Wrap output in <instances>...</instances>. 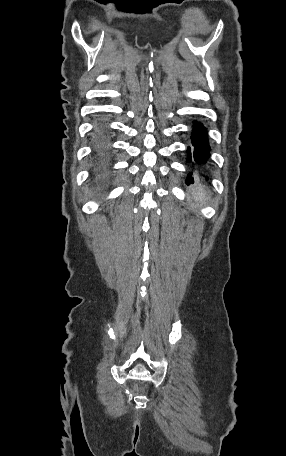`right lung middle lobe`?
I'll use <instances>...</instances> for the list:
<instances>
[{"instance_id": "dd1d6c3e", "label": "right lung middle lobe", "mask_w": 286, "mask_h": 456, "mask_svg": "<svg viewBox=\"0 0 286 456\" xmlns=\"http://www.w3.org/2000/svg\"><path fill=\"white\" fill-rule=\"evenodd\" d=\"M102 129H103V128L100 126L98 130H99V131H102Z\"/></svg>"}]
</instances>
